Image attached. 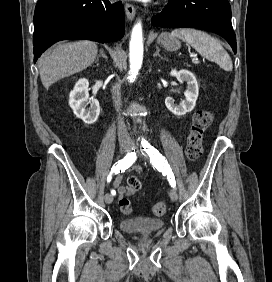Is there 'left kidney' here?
Here are the masks:
<instances>
[{"label": "left kidney", "instance_id": "1", "mask_svg": "<svg viewBox=\"0 0 272 282\" xmlns=\"http://www.w3.org/2000/svg\"><path fill=\"white\" fill-rule=\"evenodd\" d=\"M170 75L176 77L179 82L185 81L187 83V88L184 92L185 100L178 106L174 104L171 97L165 99V105L174 115L183 116L186 113L191 112L196 105V100L199 94L198 83L194 74L185 69L180 71L172 70Z\"/></svg>", "mask_w": 272, "mask_h": 282}]
</instances>
